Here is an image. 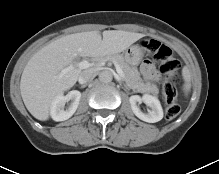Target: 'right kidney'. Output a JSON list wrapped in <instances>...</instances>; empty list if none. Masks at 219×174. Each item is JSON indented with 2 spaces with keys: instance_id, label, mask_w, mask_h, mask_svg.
Returning a JSON list of instances; mask_svg holds the SVG:
<instances>
[{
  "instance_id": "1",
  "label": "right kidney",
  "mask_w": 219,
  "mask_h": 174,
  "mask_svg": "<svg viewBox=\"0 0 219 174\" xmlns=\"http://www.w3.org/2000/svg\"><path fill=\"white\" fill-rule=\"evenodd\" d=\"M81 99V93L77 90L70 91L66 96L59 95L50 107V115L54 121H65L69 119L77 110ZM71 101L65 108L66 102Z\"/></svg>"
}]
</instances>
